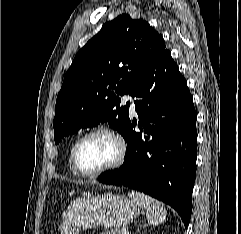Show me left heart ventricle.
Masks as SVG:
<instances>
[{
  "label": "left heart ventricle",
  "instance_id": "left-heart-ventricle-1",
  "mask_svg": "<svg viewBox=\"0 0 241 234\" xmlns=\"http://www.w3.org/2000/svg\"><path fill=\"white\" fill-rule=\"evenodd\" d=\"M115 141L106 134H97L86 139L78 150L79 167L86 172L98 170L117 156Z\"/></svg>",
  "mask_w": 241,
  "mask_h": 234
}]
</instances>
